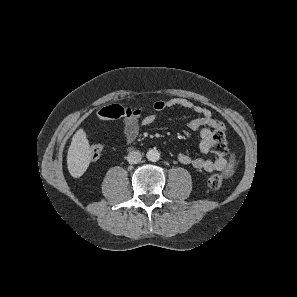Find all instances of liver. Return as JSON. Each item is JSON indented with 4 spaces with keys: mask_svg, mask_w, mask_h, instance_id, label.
I'll list each match as a JSON object with an SVG mask.
<instances>
[{
    "mask_svg": "<svg viewBox=\"0 0 297 297\" xmlns=\"http://www.w3.org/2000/svg\"><path fill=\"white\" fill-rule=\"evenodd\" d=\"M92 158V151L86 133L79 129L72 137L67 153V166L72 177L78 178L87 170Z\"/></svg>",
    "mask_w": 297,
    "mask_h": 297,
    "instance_id": "6515ba94",
    "label": "liver"
}]
</instances>
